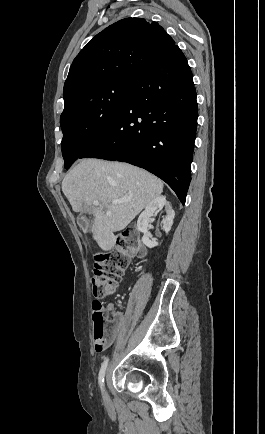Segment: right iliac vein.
I'll return each instance as SVG.
<instances>
[{"label":"right iliac vein","instance_id":"63e3f726","mask_svg":"<svg viewBox=\"0 0 265 434\" xmlns=\"http://www.w3.org/2000/svg\"><path fill=\"white\" fill-rule=\"evenodd\" d=\"M103 396H104V400H105V401H107V400H108V395H107V393H106V392H104ZM106 405H107V406H109V405H110V403H109V402H107V403H106Z\"/></svg>","mask_w":265,"mask_h":434}]
</instances>
